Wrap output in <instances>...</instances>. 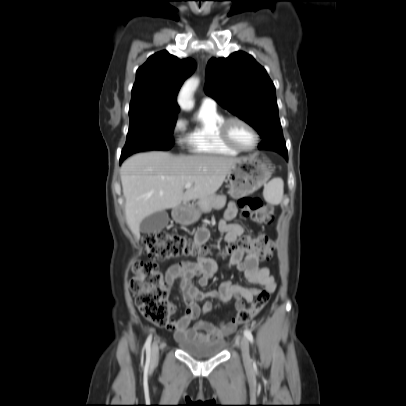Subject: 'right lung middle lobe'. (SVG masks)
Masks as SVG:
<instances>
[{"label":"right lung middle lobe","instance_id":"dd1d6c3e","mask_svg":"<svg viewBox=\"0 0 406 406\" xmlns=\"http://www.w3.org/2000/svg\"><path fill=\"white\" fill-rule=\"evenodd\" d=\"M130 126L121 159L139 151L169 150L177 115L129 113Z\"/></svg>","mask_w":406,"mask_h":406}]
</instances>
